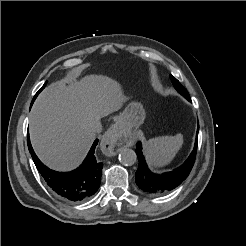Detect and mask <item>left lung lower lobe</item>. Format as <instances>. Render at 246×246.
<instances>
[{"label": "left lung lower lobe", "instance_id": "obj_1", "mask_svg": "<svg viewBox=\"0 0 246 246\" xmlns=\"http://www.w3.org/2000/svg\"><path fill=\"white\" fill-rule=\"evenodd\" d=\"M186 99L191 101L190 97ZM198 131L199 126L197 128L194 149L187 160L175 170L163 174H154L149 170L142 153L141 142L139 141L136 145V154L139 161L136 171V183L139 188L149 195H161L179 186L187 178L194 165L197 152Z\"/></svg>", "mask_w": 246, "mask_h": 246}]
</instances>
